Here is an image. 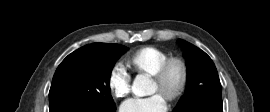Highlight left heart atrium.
Returning a JSON list of instances; mask_svg holds the SVG:
<instances>
[{"label": "left heart atrium", "instance_id": "obj_1", "mask_svg": "<svg viewBox=\"0 0 270 112\" xmlns=\"http://www.w3.org/2000/svg\"><path fill=\"white\" fill-rule=\"evenodd\" d=\"M166 109V99L159 93L148 97L129 98L120 106V112H165Z\"/></svg>", "mask_w": 270, "mask_h": 112}]
</instances>
